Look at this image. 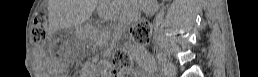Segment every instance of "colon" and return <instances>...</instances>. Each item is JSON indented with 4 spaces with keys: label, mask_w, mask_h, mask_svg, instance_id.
Segmentation results:
<instances>
[{
    "label": "colon",
    "mask_w": 258,
    "mask_h": 77,
    "mask_svg": "<svg viewBox=\"0 0 258 77\" xmlns=\"http://www.w3.org/2000/svg\"><path fill=\"white\" fill-rule=\"evenodd\" d=\"M150 38V26L146 22H139L131 27L130 39L132 43H145ZM32 39L38 45H45L50 41V35L47 28L45 16L35 17L32 27ZM131 60L128 51L125 48L119 49L113 56L112 66L116 70L129 68Z\"/></svg>",
    "instance_id": "5ec220e1"
}]
</instances>
